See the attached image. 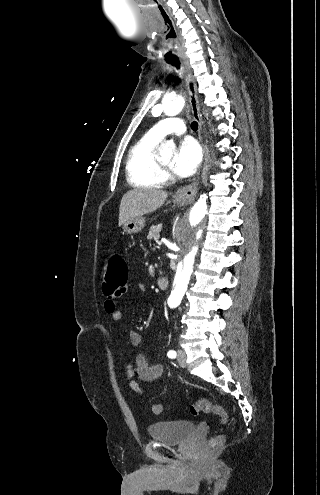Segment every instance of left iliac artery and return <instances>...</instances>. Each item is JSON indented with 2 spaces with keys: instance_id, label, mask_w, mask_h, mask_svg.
<instances>
[{
  "instance_id": "obj_1",
  "label": "left iliac artery",
  "mask_w": 320,
  "mask_h": 495,
  "mask_svg": "<svg viewBox=\"0 0 320 495\" xmlns=\"http://www.w3.org/2000/svg\"><path fill=\"white\" fill-rule=\"evenodd\" d=\"M168 357L169 358H175L176 357V352L174 350H169L168 353H167Z\"/></svg>"
}]
</instances>
